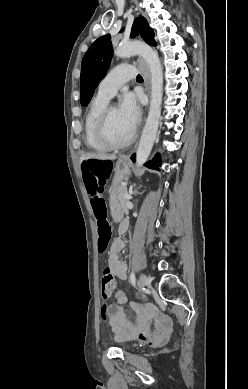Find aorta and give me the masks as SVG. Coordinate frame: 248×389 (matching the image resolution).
<instances>
[{"instance_id":"1","label":"aorta","mask_w":248,"mask_h":389,"mask_svg":"<svg viewBox=\"0 0 248 389\" xmlns=\"http://www.w3.org/2000/svg\"><path fill=\"white\" fill-rule=\"evenodd\" d=\"M117 57L140 55L146 61L151 75V100L148 117L136 152V165L143 166L147 161L159 126L163 96V71L159 56L148 45L142 42H127L120 44L114 51Z\"/></svg>"}]
</instances>
